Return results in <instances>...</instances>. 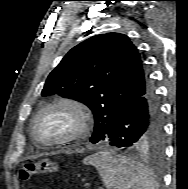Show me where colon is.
<instances>
[{"label": "colon", "mask_w": 188, "mask_h": 189, "mask_svg": "<svg viewBox=\"0 0 188 189\" xmlns=\"http://www.w3.org/2000/svg\"><path fill=\"white\" fill-rule=\"evenodd\" d=\"M55 165L47 159L39 161H25L19 170V177L26 182L32 179L34 175L49 173L55 171Z\"/></svg>", "instance_id": "1"}]
</instances>
